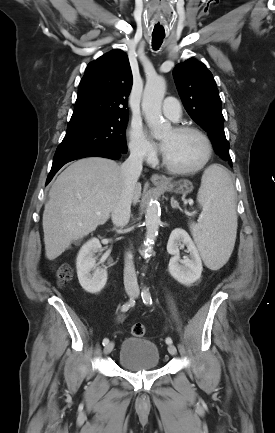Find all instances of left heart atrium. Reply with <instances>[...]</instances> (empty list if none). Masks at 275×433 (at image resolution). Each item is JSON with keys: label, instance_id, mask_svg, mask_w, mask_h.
<instances>
[{"label": "left heart atrium", "instance_id": "left-heart-atrium-1", "mask_svg": "<svg viewBox=\"0 0 275 433\" xmlns=\"http://www.w3.org/2000/svg\"><path fill=\"white\" fill-rule=\"evenodd\" d=\"M162 148H163V150L165 149V147H164V145L162 144Z\"/></svg>", "mask_w": 275, "mask_h": 433}]
</instances>
